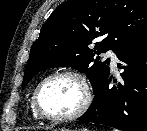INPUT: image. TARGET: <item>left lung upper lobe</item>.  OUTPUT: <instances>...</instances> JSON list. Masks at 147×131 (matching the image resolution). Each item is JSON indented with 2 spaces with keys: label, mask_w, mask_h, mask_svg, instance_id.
Masks as SVG:
<instances>
[{
  "label": "left lung upper lobe",
  "mask_w": 147,
  "mask_h": 131,
  "mask_svg": "<svg viewBox=\"0 0 147 131\" xmlns=\"http://www.w3.org/2000/svg\"><path fill=\"white\" fill-rule=\"evenodd\" d=\"M146 31L147 0H68L42 25L22 87L39 71L72 67L86 73L95 94L109 74V59L99 62L95 55L110 49L117 53ZM96 38L101 42L89 48Z\"/></svg>",
  "instance_id": "obj_1"
}]
</instances>
